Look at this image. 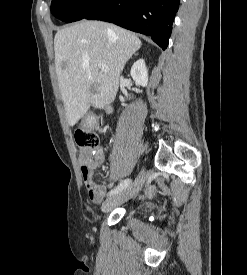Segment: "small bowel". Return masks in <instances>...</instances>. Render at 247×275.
I'll return each mask as SVG.
<instances>
[{
  "label": "small bowel",
  "instance_id": "small-bowel-1",
  "mask_svg": "<svg viewBox=\"0 0 247 275\" xmlns=\"http://www.w3.org/2000/svg\"><path fill=\"white\" fill-rule=\"evenodd\" d=\"M94 156L91 160L83 163L81 167V174L83 178L84 186L88 193V198L92 202H100L102 198L101 191L94 181V171L104 162L105 155L102 148H97L94 150ZM110 187L112 184L109 185ZM147 195L151 196L155 193L154 187H149L147 189Z\"/></svg>",
  "mask_w": 247,
  "mask_h": 275
}]
</instances>
